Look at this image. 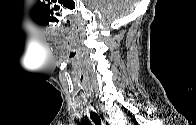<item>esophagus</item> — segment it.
<instances>
[{
	"instance_id": "obj_1",
	"label": "esophagus",
	"mask_w": 196,
	"mask_h": 125,
	"mask_svg": "<svg viewBox=\"0 0 196 125\" xmlns=\"http://www.w3.org/2000/svg\"><path fill=\"white\" fill-rule=\"evenodd\" d=\"M104 117V121H103V125H109V121L106 115H103Z\"/></svg>"
}]
</instances>
